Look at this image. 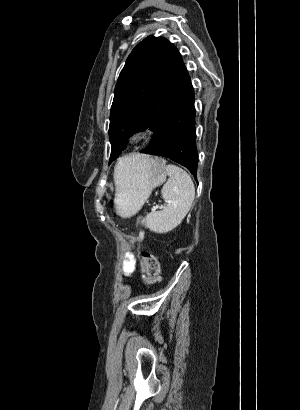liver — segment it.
I'll return each instance as SVG.
<instances>
[{"label": "liver", "instance_id": "liver-1", "mask_svg": "<svg viewBox=\"0 0 300 410\" xmlns=\"http://www.w3.org/2000/svg\"><path fill=\"white\" fill-rule=\"evenodd\" d=\"M145 157H146V155L133 154V155L130 156V159H133L135 162H139V161H141V160H144ZM118 187H119V184H118V182L116 181V189H118Z\"/></svg>", "mask_w": 300, "mask_h": 410}]
</instances>
